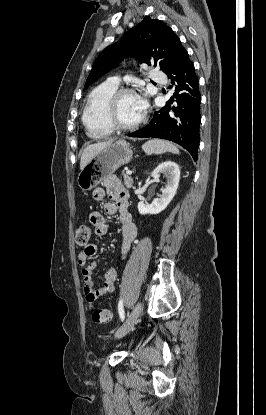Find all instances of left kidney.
Wrapping results in <instances>:
<instances>
[{
	"instance_id": "1",
	"label": "left kidney",
	"mask_w": 266,
	"mask_h": 415,
	"mask_svg": "<svg viewBox=\"0 0 266 415\" xmlns=\"http://www.w3.org/2000/svg\"><path fill=\"white\" fill-rule=\"evenodd\" d=\"M161 173L167 177V184L161 188L162 195L155 198L151 204L143 201L138 203V211L142 215L159 214L166 209L176 194L180 180L179 166L175 162L165 161L154 169L151 176L157 181Z\"/></svg>"
}]
</instances>
